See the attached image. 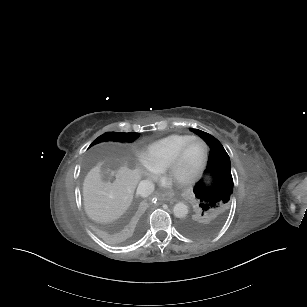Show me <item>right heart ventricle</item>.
<instances>
[{
  "instance_id": "1",
  "label": "right heart ventricle",
  "mask_w": 307,
  "mask_h": 307,
  "mask_svg": "<svg viewBox=\"0 0 307 307\" xmlns=\"http://www.w3.org/2000/svg\"><path fill=\"white\" fill-rule=\"evenodd\" d=\"M191 135L169 134L152 142L136 144L131 153L152 167L164 166Z\"/></svg>"
}]
</instances>
